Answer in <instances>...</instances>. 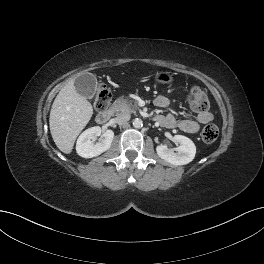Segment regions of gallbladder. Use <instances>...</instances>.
Returning <instances> with one entry per match:
<instances>
[{
  "mask_svg": "<svg viewBox=\"0 0 264 264\" xmlns=\"http://www.w3.org/2000/svg\"><path fill=\"white\" fill-rule=\"evenodd\" d=\"M74 86L77 93L91 99L96 92L97 79L93 74H83L75 79Z\"/></svg>",
  "mask_w": 264,
  "mask_h": 264,
  "instance_id": "obj_1",
  "label": "gallbladder"
}]
</instances>
